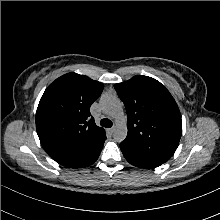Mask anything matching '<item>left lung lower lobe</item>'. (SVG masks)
<instances>
[{
    "label": "left lung lower lobe",
    "mask_w": 220,
    "mask_h": 220,
    "mask_svg": "<svg viewBox=\"0 0 220 220\" xmlns=\"http://www.w3.org/2000/svg\"><path fill=\"white\" fill-rule=\"evenodd\" d=\"M120 148L121 151L124 155V157L126 158V160L136 166V167H140V168H155L160 166L163 162L154 160L150 157H147L137 151H133L125 146H123L122 144H120Z\"/></svg>",
    "instance_id": "0a47b994"
}]
</instances>
